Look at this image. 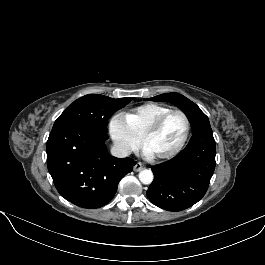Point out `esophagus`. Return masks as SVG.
Segmentation results:
<instances>
[{"instance_id": "esophagus-1", "label": "esophagus", "mask_w": 265, "mask_h": 265, "mask_svg": "<svg viewBox=\"0 0 265 265\" xmlns=\"http://www.w3.org/2000/svg\"><path fill=\"white\" fill-rule=\"evenodd\" d=\"M144 168H145L144 165H143L142 163L138 162V163H136L135 166L133 167V170H134L135 172H140V171H142Z\"/></svg>"}]
</instances>
